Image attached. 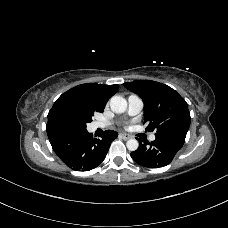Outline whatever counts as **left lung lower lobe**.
I'll return each instance as SVG.
<instances>
[{"mask_svg":"<svg viewBox=\"0 0 228 228\" xmlns=\"http://www.w3.org/2000/svg\"><path fill=\"white\" fill-rule=\"evenodd\" d=\"M187 132L167 131L155 134L151 143L140 140L139 148L131 153L132 159L148 168H159L168 165L182 148Z\"/></svg>","mask_w":228,"mask_h":228,"instance_id":"0a47b994","label":"left lung lower lobe"}]
</instances>
